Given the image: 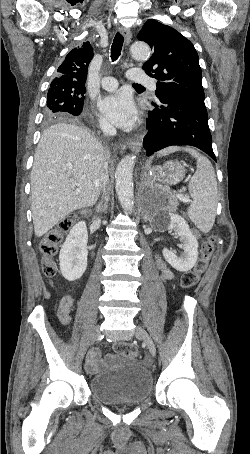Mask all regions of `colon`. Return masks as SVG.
Wrapping results in <instances>:
<instances>
[{
	"label": "colon",
	"instance_id": "obj_1",
	"mask_svg": "<svg viewBox=\"0 0 250 454\" xmlns=\"http://www.w3.org/2000/svg\"><path fill=\"white\" fill-rule=\"evenodd\" d=\"M73 223V217L65 218L56 227L51 229L39 244V249L44 259L43 272L47 277H52L56 273V265L53 259L58 253L64 233L72 227ZM216 243V238L211 237L202 244L199 258L194 267L186 271L181 277L180 286L183 289H190L198 283L201 275L209 265V261L215 251ZM114 350L117 354L129 359H136L138 357L137 349L128 343H117Z\"/></svg>",
	"mask_w": 250,
	"mask_h": 454
}]
</instances>
